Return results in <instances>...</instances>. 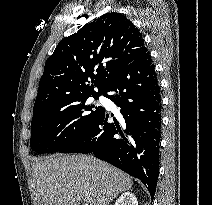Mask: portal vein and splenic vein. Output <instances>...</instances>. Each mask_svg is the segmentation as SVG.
Masks as SVG:
<instances>
[{
    "mask_svg": "<svg viewBox=\"0 0 212 205\" xmlns=\"http://www.w3.org/2000/svg\"><path fill=\"white\" fill-rule=\"evenodd\" d=\"M84 201H85L86 203H89V202H90V198H89V197H86V198H84Z\"/></svg>",
    "mask_w": 212,
    "mask_h": 205,
    "instance_id": "portal-vein-and-splenic-vein-1",
    "label": "portal vein and splenic vein"
}]
</instances>
